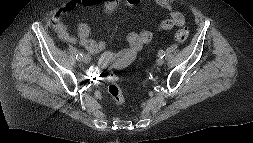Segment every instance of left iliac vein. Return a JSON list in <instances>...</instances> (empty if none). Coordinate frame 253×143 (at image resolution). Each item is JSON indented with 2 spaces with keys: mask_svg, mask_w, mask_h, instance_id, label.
I'll list each match as a JSON object with an SVG mask.
<instances>
[{
  "mask_svg": "<svg viewBox=\"0 0 253 143\" xmlns=\"http://www.w3.org/2000/svg\"><path fill=\"white\" fill-rule=\"evenodd\" d=\"M164 64V59L162 58H159L157 61H156V65L157 66H162Z\"/></svg>",
  "mask_w": 253,
  "mask_h": 143,
  "instance_id": "1",
  "label": "left iliac vein"
}]
</instances>
